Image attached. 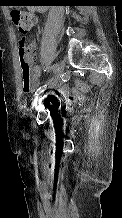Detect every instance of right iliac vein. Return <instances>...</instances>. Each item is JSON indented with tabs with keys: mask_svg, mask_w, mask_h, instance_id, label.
I'll list each match as a JSON object with an SVG mask.
<instances>
[{
	"mask_svg": "<svg viewBox=\"0 0 122 218\" xmlns=\"http://www.w3.org/2000/svg\"><path fill=\"white\" fill-rule=\"evenodd\" d=\"M54 70H55V71H54V73H55L54 77H53L51 80H49V82L46 84V86L43 87L42 91L39 92V93L36 95L35 100H34V105L37 103L38 99L41 97V94H42L47 88H54V87L58 84V82H59V80H60V76H61V74H62V72H63V65H62V63H56V64L54 65Z\"/></svg>",
	"mask_w": 122,
	"mask_h": 218,
	"instance_id": "right-iliac-vein-1",
	"label": "right iliac vein"
}]
</instances>
